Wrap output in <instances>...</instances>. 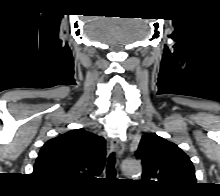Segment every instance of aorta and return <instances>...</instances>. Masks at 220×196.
<instances>
[{"mask_svg":"<svg viewBox=\"0 0 220 196\" xmlns=\"http://www.w3.org/2000/svg\"><path fill=\"white\" fill-rule=\"evenodd\" d=\"M122 171L125 175H136L141 172V164L134 159L124 160L122 163Z\"/></svg>","mask_w":220,"mask_h":196,"instance_id":"aorta-1","label":"aorta"}]
</instances>
